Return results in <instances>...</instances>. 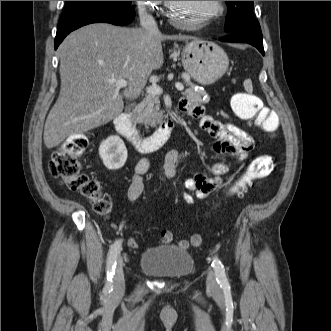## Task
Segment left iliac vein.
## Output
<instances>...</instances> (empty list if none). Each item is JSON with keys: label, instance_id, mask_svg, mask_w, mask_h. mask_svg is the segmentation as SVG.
Returning <instances> with one entry per match:
<instances>
[{"label": "left iliac vein", "instance_id": "left-iliac-vein-1", "mask_svg": "<svg viewBox=\"0 0 331 331\" xmlns=\"http://www.w3.org/2000/svg\"><path fill=\"white\" fill-rule=\"evenodd\" d=\"M207 287L211 291H217L218 289V284L212 271L207 276Z\"/></svg>", "mask_w": 331, "mask_h": 331}]
</instances>
